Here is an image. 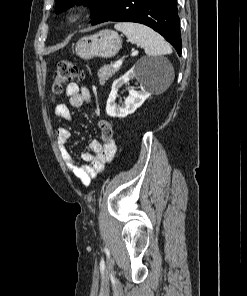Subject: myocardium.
<instances>
[{
    "instance_id": "myocardium-1",
    "label": "myocardium",
    "mask_w": 247,
    "mask_h": 296,
    "mask_svg": "<svg viewBox=\"0 0 247 296\" xmlns=\"http://www.w3.org/2000/svg\"><path fill=\"white\" fill-rule=\"evenodd\" d=\"M80 16H81L80 9L78 7H75L68 12L66 16V22L69 25H73L79 21Z\"/></svg>"
}]
</instances>
